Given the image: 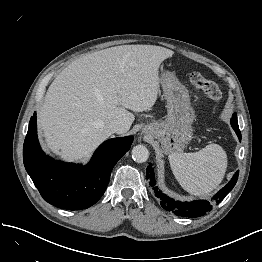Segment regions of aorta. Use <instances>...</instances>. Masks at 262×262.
<instances>
[{
  "label": "aorta",
  "mask_w": 262,
  "mask_h": 262,
  "mask_svg": "<svg viewBox=\"0 0 262 262\" xmlns=\"http://www.w3.org/2000/svg\"><path fill=\"white\" fill-rule=\"evenodd\" d=\"M149 157V151L144 145H136L132 149V158L137 163H144Z\"/></svg>",
  "instance_id": "762f6f07"
}]
</instances>
